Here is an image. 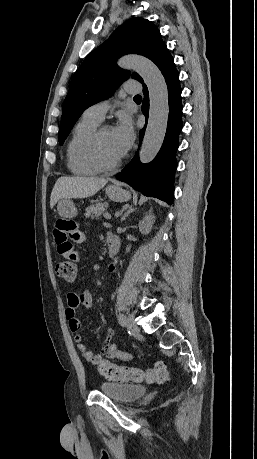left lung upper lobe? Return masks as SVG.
Returning <instances> with one entry per match:
<instances>
[{"label": "left lung upper lobe", "mask_w": 257, "mask_h": 459, "mask_svg": "<svg viewBox=\"0 0 257 459\" xmlns=\"http://www.w3.org/2000/svg\"><path fill=\"white\" fill-rule=\"evenodd\" d=\"M135 53L157 66L170 54L156 26L143 18H132L93 50L75 72L65 98L59 130L62 145L81 114L91 105L107 99L129 78L130 72L119 68L117 58ZM131 77L143 82L137 73Z\"/></svg>", "instance_id": "5c2ea615"}]
</instances>
